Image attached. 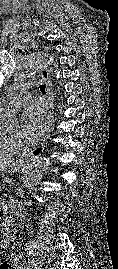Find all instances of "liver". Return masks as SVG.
Segmentation results:
<instances>
[{
	"label": "liver",
	"mask_w": 118,
	"mask_h": 269,
	"mask_svg": "<svg viewBox=\"0 0 118 269\" xmlns=\"http://www.w3.org/2000/svg\"><path fill=\"white\" fill-rule=\"evenodd\" d=\"M18 161H14L10 158L0 157V171L10 170L13 166H17Z\"/></svg>",
	"instance_id": "6515ba94"
}]
</instances>
